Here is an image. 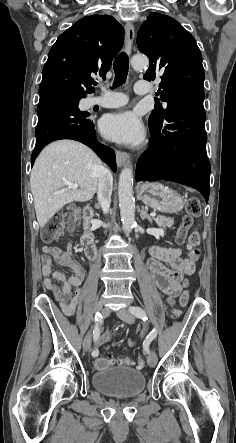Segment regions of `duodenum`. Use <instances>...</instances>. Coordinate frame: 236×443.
I'll list each match as a JSON object with an SVG mask.
<instances>
[{
  "mask_svg": "<svg viewBox=\"0 0 236 443\" xmlns=\"http://www.w3.org/2000/svg\"><path fill=\"white\" fill-rule=\"evenodd\" d=\"M84 217L86 219L85 231L81 237V247L84 249L87 258L92 261L96 254L95 248V234L91 226L90 219L94 217L95 210L93 207H85L83 210Z\"/></svg>",
  "mask_w": 236,
  "mask_h": 443,
  "instance_id": "duodenum-1",
  "label": "duodenum"
}]
</instances>
